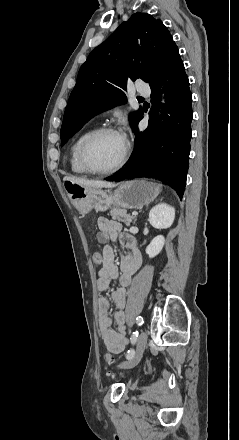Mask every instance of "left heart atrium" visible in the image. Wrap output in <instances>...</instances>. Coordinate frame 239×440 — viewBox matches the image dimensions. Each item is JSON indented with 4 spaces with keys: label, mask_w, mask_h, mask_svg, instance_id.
<instances>
[{
    "label": "left heart atrium",
    "mask_w": 239,
    "mask_h": 440,
    "mask_svg": "<svg viewBox=\"0 0 239 440\" xmlns=\"http://www.w3.org/2000/svg\"><path fill=\"white\" fill-rule=\"evenodd\" d=\"M121 135L123 136V138L126 140L127 139V134L126 133H121Z\"/></svg>",
    "instance_id": "1"
}]
</instances>
